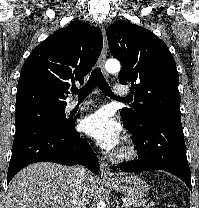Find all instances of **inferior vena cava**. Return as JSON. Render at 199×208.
<instances>
[{"label": "inferior vena cava", "mask_w": 199, "mask_h": 208, "mask_svg": "<svg viewBox=\"0 0 199 208\" xmlns=\"http://www.w3.org/2000/svg\"><path fill=\"white\" fill-rule=\"evenodd\" d=\"M74 176L76 179V188L73 191L71 208H86V201L82 198V185L88 175L87 170L83 166H76L73 168Z\"/></svg>", "instance_id": "602c4592"}]
</instances>
